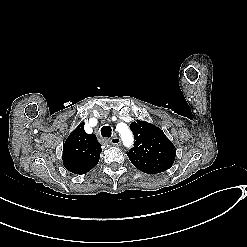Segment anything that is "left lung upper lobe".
I'll use <instances>...</instances> for the list:
<instances>
[{
    "mask_svg": "<svg viewBox=\"0 0 247 247\" xmlns=\"http://www.w3.org/2000/svg\"><path fill=\"white\" fill-rule=\"evenodd\" d=\"M130 129L135 137V145L127 155L137 169L156 174L171 167L176 149L162 130L140 120L132 122Z\"/></svg>",
    "mask_w": 247,
    "mask_h": 247,
    "instance_id": "obj_1",
    "label": "left lung upper lobe"
}]
</instances>
